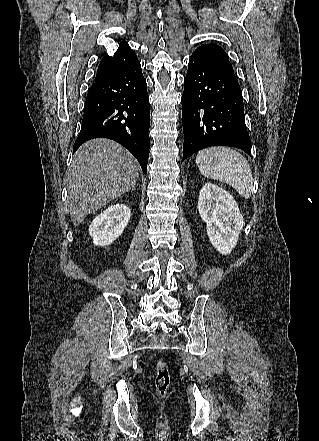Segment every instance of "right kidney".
<instances>
[{"mask_svg":"<svg viewBox=\"0 0 319 441\" xmlns=\"http://www.w3.org/2000/svg\"><path fill=\"white\" fill-rule=\"evenodd\" d=\"M128 206L117 203L96 216L89 226V234L96 246H108L123 233L130 219Z\"/></svg>","mask_w":319,"mask_h":441,"instance_id":"obj_1","label":"right kidney"}]
</instances>
